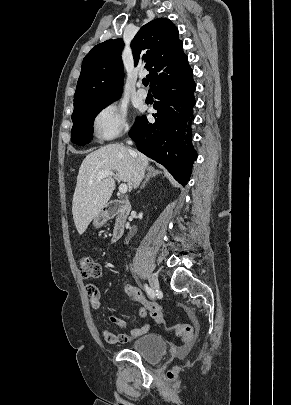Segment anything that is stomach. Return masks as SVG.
Wrapping results in <instances>:
<instances>
[{
    "label": "stomach",
    "instance_id": "obj_1",
    "mask_svg": "<svg viewBox=\"0 0 291 405\" xmlns=\"http://www.w3.org/2000/svg\"><path fill=\"white\" fill-rule=\"evenodd\" d=\"M109 214L105 210H101L93 220V226L96 228L102 227L109 219Z\"/></svg>",
    "mask_w": 291,
    "mask_h": 405
}]
</instances>
